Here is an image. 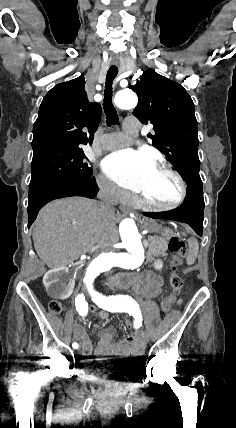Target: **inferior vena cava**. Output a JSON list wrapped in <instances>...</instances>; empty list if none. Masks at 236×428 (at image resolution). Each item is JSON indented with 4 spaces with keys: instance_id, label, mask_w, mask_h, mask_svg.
<instances>
[{
    "instance_id": "602c4592",
    "label": "inferior vena cava",
    "mask_w": 236,
    "mask_h": 428,
    "mask_svg": "<svg viewBox=\"0 0 236 428\" xmlns=\"http://www.w3.org/2000/svg\"><path fill=\"white\" fill-rule=\"evenodd\" d=\"M98 186L100 188V192L97 194V198H100L102 202L99 204V208L103 214H114L113 210V202H114V192H116L117 188L111 184V182H108L106 178H103V180H98ZM108 220H111V217H108ZM94 242L92 243V246L94 247V253L93 256L97 257L98 254H101L103 250L102 249L100 241L102 240V237L99 234H96L93 237ZM100 248V249H99Z\"/></svg>"
}]
</instances>
